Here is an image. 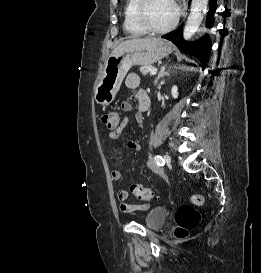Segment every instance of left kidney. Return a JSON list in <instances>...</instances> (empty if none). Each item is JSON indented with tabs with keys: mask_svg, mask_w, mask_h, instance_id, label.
Returning a JSON list of instances; mask_svg holds the SVG:
<instances>
[{
	"mask_svg": "<svg viewBox=\"0 0 261 273\" xmlns=\"http://www.w3.org/2000/svg\"><path fill=\"white\" fill-rule=\"evenodd\" d=\"M171 95L174 99H177L178 98V88L177 86H173L172 89H171Z\"/></svg>",
	"mask_w": 261,
	"mask_h": 273,
	"instance_id": "1",
	"label": "left kidney"
}]
</instances>
